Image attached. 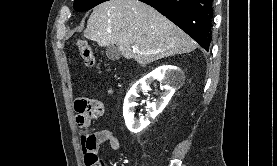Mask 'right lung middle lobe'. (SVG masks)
Masks as SVG:
<instances>
[{
    "mask_svg": "<svg viewBox=\"0 0 277 166\" xmlns=\"http://www.w3.org/2000/svg\"><path fill=\"white\" fill-rule=\"evenodd\" d=\"M108 0H75L74 9L78 12L88 11L100 3Z\"/></svg>",
    "mask_w": 277,
    "mask_h": 166,
    "instance_id": "obj_1",
    "label": "right lung middle lobe"
}]
</instances>
